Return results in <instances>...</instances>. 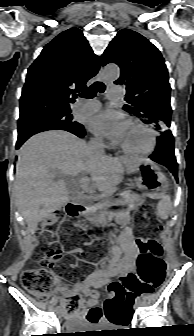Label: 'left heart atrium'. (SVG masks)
<instances>
[{
  "mask_svg": "<svg viewBox=\"0 0 194 336\" xmlns=\"http://www.w3.org/2000/svg\"><path fill=\"white\" fill-rule=\"evenodd\" d=\"M126 120L122 113L106 109L90 121V129L114 143H119L126 128Z\"/></svg>",
  "mask_w": 194,
  "mask_h": 336,
  "instance_id": "left-heart-atrium-1",
  "label": "left heart atrium"
}]
</instances>
